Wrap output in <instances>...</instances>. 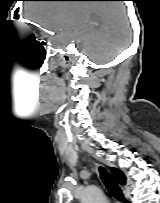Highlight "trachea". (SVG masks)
<instances>
[{"instance_id":"1","label":"trachea","mask_w":160,"mask_h":203,"mask_svg":"<svg viewBox=\"0 0 160 203\" xmlns=\"http://www.w3.org/2000/svg\"><path fill=\"white\" fill-rule=\"evenodd\" d=\"M100 177L106 186L108 192L113 195L115 198L120 200L123 203H127L122 190L118 184L114 181L111 175L102 167H99Z\"/></svg>"}]
</instances>
